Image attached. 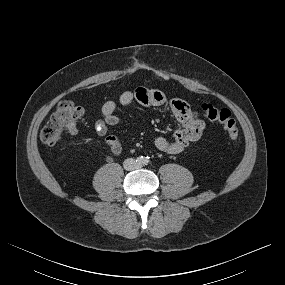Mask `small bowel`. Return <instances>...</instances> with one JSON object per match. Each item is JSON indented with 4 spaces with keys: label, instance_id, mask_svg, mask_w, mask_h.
Instances as JSON below:
<instances>
[{
    "label": "small bowel",
    "instance_id": "c3829d8e",
    "mask_svg": "<svg viewBox=\"0 0 285 285\" xmlns=\"http://www.w3.org/2000/svg\"><path fill=\"white\" fill-rule=\"evenodd\" d=\"M133 102L149 107H161L167 105L174 115L177 125L170 139L163 136L154 138V146L168 154H179L183 152L192 142L199 140L205 129V123L198 114L182 100L175 99L167 102L165 95L157 90L138 87L134 90L124 91L118 98V103L128 106ZM117 102L108 100L102 106L103 118L95 124V131L104 137L106 144L110 147L114 156L122 153L121 141L115 135L109 134V127L118 125L121 120L115 115Z\"/></svg>",
    "mask_w": 285,
    "mask_h": 285
}]
</instances>
